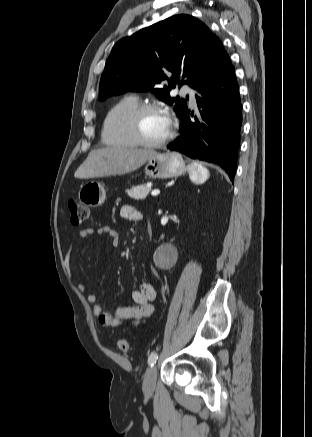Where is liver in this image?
<instances>
[{
  "label": "liver",
  "instance_id": "obj_1",
  "mask_svg": "<svg viewBox=\"0 0 312 437\" xmlns=\"http://www.w3.org/2000/svg\"><path fill=\"white\" fill-rule=\"evenodd\" d=\"M154 155L153 150L126 147L92 150L74 176L88 179L124 175L137 170Z\"/></svg>",
  "mask_w": 312,
  "mask_h": 437
}]
</instances>
